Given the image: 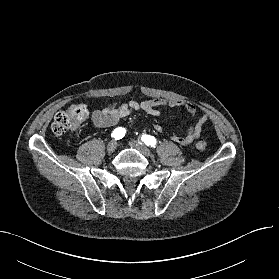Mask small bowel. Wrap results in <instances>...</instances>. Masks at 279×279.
I'll use <instances>...</instances> for the list:
<instances>
[{
	"label": "small bowel",
	"mask_w": 279,
	"mask_h": 279,
	"mask_svg": "<svg viewBox=\"0 0 279 279\" xmlns=\"http://www.w3.org/2000/svg\"><path fill=\"white\" fill-rule=\"evenodd\" d=\"M164 107H179L184 109L194 123L183 136L171 135V139L180 145H190L202 133L207 122V116L191 102L186 100H165L162 98L148 99L141 102L129 101L124 103H109L103 109H96L92 112L91 119L95 126L107 128L116 125L120 120L129 116L134 111H143L152 116L161 114ZM153 128L157 132H162L163 127L154 124Z\"/></svg>",
	"instance_id": "c3829d8e"
}]
</instances>
